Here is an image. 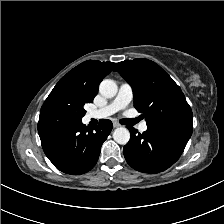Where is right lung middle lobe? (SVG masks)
<instances>
[{
    "label": "right lung middle lobe",
    "mask_w": 224,
    "mask_h": 224,
    "mask_svg": "<svg viewBox=\"0 0 224 224\" xmlns=\"http://www.w3.org/2000/svg\"><path fill=\"white\" fill-rule=\"evenodd\" d=\"M92 100L80 90L59 81L45 100L42 112H53L74 119H81L86 110L84 105Z\"/></svg>",
    "instance_id": "dd1d6c3e"
}]
</instances>
